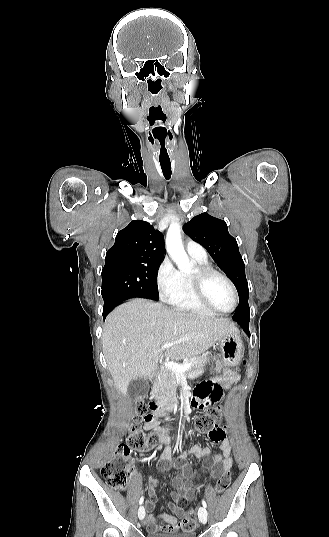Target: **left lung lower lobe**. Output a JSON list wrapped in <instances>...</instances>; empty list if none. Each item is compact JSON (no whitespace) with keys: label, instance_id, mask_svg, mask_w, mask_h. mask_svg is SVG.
<instances>
[{"label":"left lung lower lobe","instance_id":"0a47b994","mask_svg":"<svg viewBox=\"0 0 329 537\" xmlns=\"http://www.w3.org/2000/svg\"><path fill=\"white\" fill-rule=\"evenodd\" d=\"M249 321H250V317L237 321L242 326V328L246 331L247 334H249V328H248Z\"/></svg>","mask_w":329,"mask_h":537}]
</instances>
